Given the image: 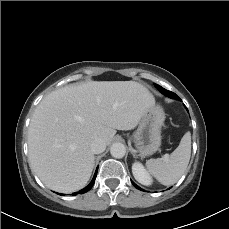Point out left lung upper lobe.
<instances>
[{
  "mask_svg": "<svg viewBox=\"0 0 229 229\" xmlns=\"http://www.w3.org/2000/svg\"><path fill=\"white\" fill-rule=\"evenodd\" d=\"M155 86H156L157 89H158L161 93H163L164 95L169 96V97L172 96L173 92L164 89V88L161 87L160 85L155 84Z\"/></svg>",
  "mask_w": 229,
  "mask_h": 229,
  "instance_id": "left-lung-upper-lobe-1",
  "label": "left lung upper lobe"
}]
</instances>
